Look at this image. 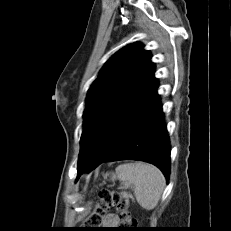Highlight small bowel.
<instances>
[{"label": "small bowel", "instance_id": "obj_1", "mask_svg": "<svg viewBox=\"0 0 231 231\" xmlns=\"http://www.w3.org/2000/svg\"><path fill=\"white\" fill-rule=\"evenodd\" d=\"M119 216L116 214H109L106 216L104 221V227L106 229H110L112 227H116L119 224Z\"/></svg>", "mask_w": 231, "mask_h": 231}]
</instances>
